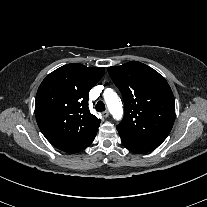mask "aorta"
<instances>
[{
    "label": "aorta",
    "mask_w": 207,
    "mask_h": 207,
    "mask_svg": "<svg viewBox=\"0 0 207 207\" xmlns=\"http://www.w3.org/2000/svg\"><path fill=\"white\" fill-rule=\"evenodd\" d=\"M103 95L110 113L116 120H120L123 116V108L121 100L116 92L108 88L104 91Z\"/></svg>",
    "instance_id": "obj_1"
}]
</instances>
